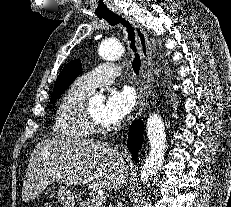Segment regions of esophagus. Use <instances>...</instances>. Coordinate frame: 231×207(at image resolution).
I'll list each match as a JSON object with an SVG mask.
<instances>
[{
  "instance_id": "34e87169",
  "label": "esophagus",
  "mask_w": 231,
  "mask_h": 207,
  "mask_svg": "<svg viewBox=\"0 0 231 207\" xmlns=\"http://www.w3.org/2000/svg\"><path fill=\"white\" fill-rule=\"evenodd\" d=\"M116 14L126 19L133 26L139 44V52L142 58V68H141L142 82L140 88L139 106L136 112V116H140L145 104V95L147 89L149 85L152 83V72H151L153 66L152 45L146 31L133 17H131L130 15L126 14L121 10H117Z\"/></svg>"
}]
</instances>
